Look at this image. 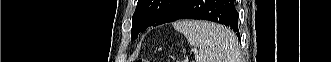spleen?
<instances>
[{
	"label": "spleen",
	"mask_w": 331,
	"mask_h": 62,
	"mask_svg": "<svg viewBox=\"0 0 331 62\" xmlns=\"http://www.w3.org/2000/svg\"><path fill=\"white\" fill-rule=\"evenodd\" d=\"M175 30L199 47L196 62H240L238 40L228 28L206 21H179Z\"/></svg>",
	"instance_id": "spleen-1"
}]
</instances>
